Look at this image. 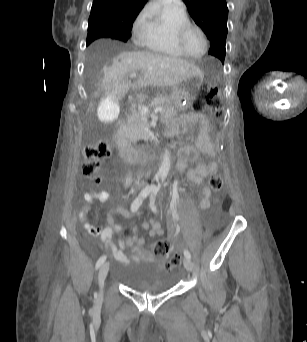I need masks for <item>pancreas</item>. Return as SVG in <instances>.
Masks as SVG:
<instances>
[{
    "label": "pancreas",
    "mask_w": 307,
    "mask_h": 342,
    "mask_svg": "<svg viewBox=\"0 0 307 342\" xmlns=\"http://www.w3.org/2000/svg\"><path fill=\"white\" fill-rule=\"evenodd\" d=\"M171 97L161 96V98H155V100H151V104H149V108H162L163 116H177L176 110L173 108H168V104L172 103ZM131 124H135V132L136 134H140L141 138H146L147 134L144 132V128H147V120L145 117H142L139 112H132L131 116Z\"/></svg>",
    "instance_id": "cf45deb5"
}]
</instances>
